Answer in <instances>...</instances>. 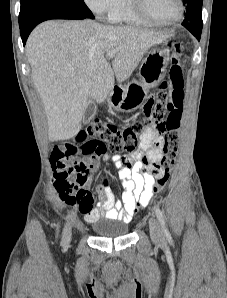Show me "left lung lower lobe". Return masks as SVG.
<instances>
[{"label":"left lung lower lobe","instance_id":"0a47b994","mask_svg":"<svg viewBox=\"0 0 227 298\" xmlns=\"http://www.w3.org/2000/svg\"><path fill=\"white\" fill-rule=\"evenodd\" d=\"M200 36H201V35H196V38H197L198 40H200Z\"/></svg>","mask_w":227,"mask_h":298}]
</instances>
